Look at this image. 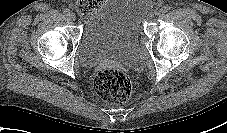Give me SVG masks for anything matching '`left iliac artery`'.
<instances>
[{
	"mask_svg": "<svg viewBox=\"0 0 227 133\" xmlns=\"http://www.w3.org/2000/svg\"><path fill=\"white\" fill-rule=\"evenodd\" d=\"M170 10V7L169 6H164V7H162V12L163 13H166V12H168Z\"/></svg>",
	"mask_w": 227,
	"mask_h": 133,
	"instance_id": "44dca946",
	"label": "left iliac artery"
}]
</instances>
